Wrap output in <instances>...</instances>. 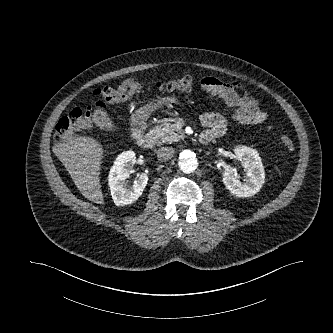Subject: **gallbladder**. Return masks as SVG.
<instances>
[{
	"instance_id": "1",
	"label": "gallbladder",
	"mask_w": 333,
	"mask_h": 333,
	"mask_svg": "<svg viewBox=\"0 0 333 333\" xmlns=\"http://www.w3.org/2000/svg\"><path fill=\"white\" fill-rule=\"evenodd\" d=\"M93 120L100 129L110 130L115 128V125L108 114L101 109H96L94 111Z\"/></svg>"
}]
</instances>
